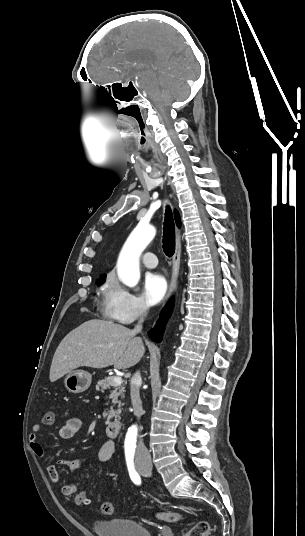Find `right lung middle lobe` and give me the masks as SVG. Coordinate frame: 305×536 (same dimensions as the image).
<instances>
[{
  "mask_svg": "<svg viewBox=\"0 0 305 536\" xmlns=\"http://www.w3.org/2000/svg\"><path fill=\"white\" fill-rule=\"evenodd\" d=\"M104 281H105V277H101V278H99V279L96 281V285L99 286V285L103 284Z\"/></svg>",
  "mask_w": 305,
  "mask_h": 536,
  "instance_id": "right-lung-middle-lobe-1",
  "label": "right lung middle lobe"
}]
</instances>
